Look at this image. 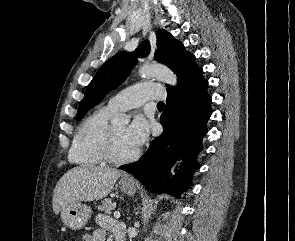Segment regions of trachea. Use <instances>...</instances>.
<instances>
[{
    "instance_id": "1",
    "label": "trachea",
    "mask_w": 295,
    "mask_h": 241,
    "mask_svg": "<svg viewBox=\"0 0 295 241\" xmlns=\"http://www.w3.org/2000/svg\"><path fill=\"white\" fill-rule=\"evenodd\" d=\"M157 107L163 108L164 107V103L163 102H158Z\"/></svg>"
}]
</instances>
